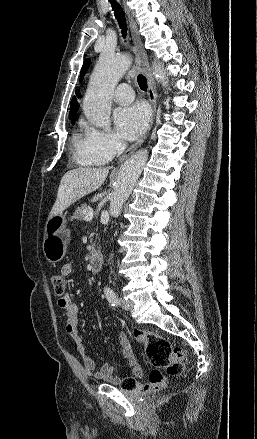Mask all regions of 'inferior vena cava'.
Segmentation results:
<instances>
[{
	"label": "inferior vena cava",
	"mask_w": 257,
	"mask_h": 439,
	"mask_svg": "<svg viewBox=\"0 0 257 439\" xmlns=\"http://www.w3.org/2000/svg\"><path fill=\"white\" fill-rule=\"evenodd\" d=\"M125 149H126V143L123 141L120 142L116 147L117 154L120 155Z\"/></svg>",
	"instance_id": "602c4592"
}]
</instances>
